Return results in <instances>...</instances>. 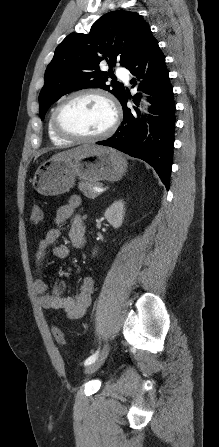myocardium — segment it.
Wrapping results in <instances>:
<instances>
[{
  "label": "myocardium",
  "mask_w": 219,
  "mask_h": 447,
  "mask_svg": "<svg viewBox=\"0 0 219 447\" xmlns=\"http://www.w3.org/2000/svg\"><path fill=\"white\" fill-rule=\"evenodd\" d=\"M95 95L105 100L112 110V121L110 125L101 133L96 135H80L64 129L60 123V113L63 107L75 98ZM120 108L115 99L108 92L98 88H84L74 91L62 99L52 113V126L57 135L75 142H94L111 136L117 129L120 122Z\"/></svg>",
  "instance_id": "myocardium-1"
}]
</instances>
